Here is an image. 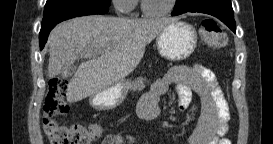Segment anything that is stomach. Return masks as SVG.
I'll use <instances>...</instances> for the list:
<instances>
[{"instance_id":"obj_1","label":"stomach","mask_w":273,"mask_h":144,"mask_svg":"<svg viewBox=\"0 0 273 144\" xmlns=\"http://www.w3.org/2000/svg\"><path fill=\"white\" fill-rule=\"evenodd\" d=\"M197 33L189 23L175 21L168 24L157 36L156 46L160 55L171 61L189 57L195 50ZM129 81L122 80L94 95L89 102L97 110H109L121 105L129 90Z\"/></svg>"}]
</instances>
